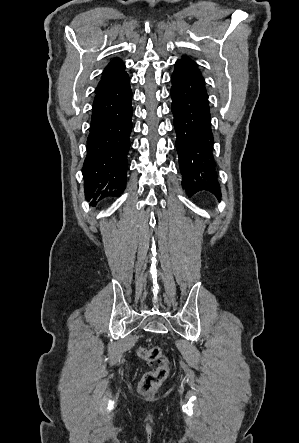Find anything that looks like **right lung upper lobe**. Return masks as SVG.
<instances>
[{
	"instance_id": "obj_1",
	"label": "right lung upper lobe",
	"mask_w": 299,
	"mask_h": 443,
	"mask_svg": "<svg viewBox=\"0 0 299 443\" xmlns=\"http://www.w3.org/2000/svg\"><path fill=\"white\" fill-rule=\"evenodd\" d=\"M125 65L119 58L113 59L104 69L102 79L97 87V90L107 86L126 72L124 71Z\"/></svg>"
}]
</instances>
